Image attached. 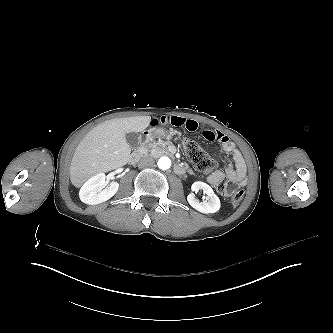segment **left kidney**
<instances>
[{
    "mask_svg": "<svg viewBox=\"0 0 333 333\" xmlns=\"http://www.w3.org/2000/svg\"><path fill=\"white\" fill-rule=\"evenodd\" d=\"M192 189L194 191L202 190L210 197L208 202H200L194 198L193 193H190L187 196V202L190 204L192 208L205 214L216 213L219 211L221 206L220 199L208 184L201 181H197L192 185Z\"/></svg>",
    "mask_w": 333,
    "mask_h": 333,
    "instance_id": "left-kidney-1",
    "label": "left kidney"
}]
</instances>
